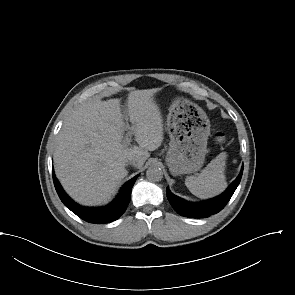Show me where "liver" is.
<instances>
[{
    "label": "liver",
    "instance_id": "liver-1",
    "mask_svg": "<svg viewBox=\"0 0 295 295\" xmlns=\"http://www.w3.org/2000/svg\"><path fill=\"white\" fill-rule=\"evenodd\" d=\"M157 89L134 90L125 106L120 99L95 100L81 105L65 120L53 154L57 178L76 202L105 204L128 175V156H138L140 168L164 139L163 117L154 99ZM123 111V112H122ZM131 130L139 146L122 143Z\"/></svg>",
    "mask_w": 295,
    "mask_h": 295
}]
</instances>
